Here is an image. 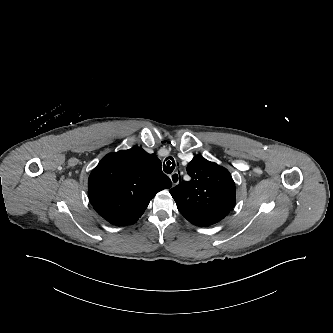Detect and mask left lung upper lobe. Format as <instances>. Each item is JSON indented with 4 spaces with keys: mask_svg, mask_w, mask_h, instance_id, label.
Returning a JSON list of instances; mask_svg holds the SVG:
<instances>
[{
    "mask_svg": "<svg viewBox=\"0 0 333 333\" xmlns=\"http://www.w3.org/2000/svg\"><path fill=\"white\" fill-rule=\"evenodd\" d=\"M186 170L191 180L170 190L177 206L200 210L233 209L235 183L227 169L196 155Z\"/></svg>",
    "mask_w": 333,
    "mask_h": 333,
    "instance_id": "obj_1",
    "label": "left lung upper lobe"
}]
</instances>
